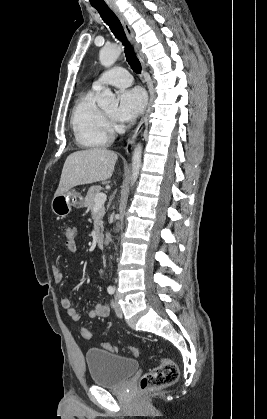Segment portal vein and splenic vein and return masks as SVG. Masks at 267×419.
<instances>
[{
  "instance_id": "obj_1",
  "label": "portal vein and splenic vein",
  "mask_w": 267,
  "mask_h": 419,
  "mask_svg": "<svg viewBox=\"0 0 267 419\" xmlns=\"http://www.w3.org/2000/svg\"><path fill=\"white\" fill-rule=\"evenodd\" d=\"M106 199H107L106 194H104V193H99V194H97V195L95 196V204H96V206H97V205H102V204H104V203H105V201H106Z\"/></svg>"
}]
</instances>
